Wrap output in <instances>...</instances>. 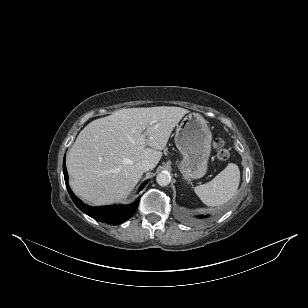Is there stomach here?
Listing matches in <instances>:
<instances>
[{"label":"stomach","mask_w":308,"mask_h":308,"mask_svg":"<svg viewBox=\"0 0 308 308\" xmlns=\"http://www.w3.org/2000/svg\"><path fill=\"white\" fill-rule=\"evenodd\" d=\"M212 134L199 113L188 114L175 133V145L182 155L179 169L187 181L203 177L211 153Z\"/></svg>","instance_id":"stomach-1"}]
</instances>
